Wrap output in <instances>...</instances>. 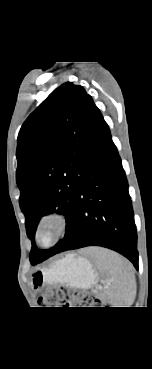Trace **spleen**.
<instances>
[{"label":"spleen","instance_id":"obj_1","mask_svg":"<svg viewBox=\"0 0 152 369\" xmlns=\"http://www.w3.org/2000/svg\"><path fill=\"white\" fill-rule=\"evenodd\" d=\"M92 256L98 268L110 277L109 299L119 304H128L134 289L131 264L119 254L102 248H94Z\"/></svg>","mask_w":152,"mask_h":369}]
</instances>
